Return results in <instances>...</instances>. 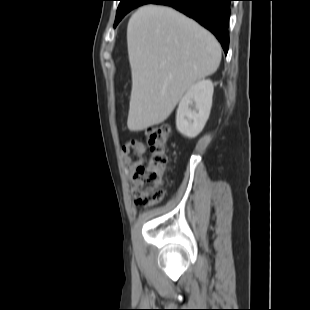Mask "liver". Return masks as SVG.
Segmentation results:
<instances>
[{"label": "liver", "mask_w": 310, "mask_h": 310, "mask_svg": "<svg viewBox=\"0 0 310 310\" xmlns=\"http://www.w3.org/2000/svg\"><path fill=\"white\" fill-rule=\"evenodd\" d=\"M127 46L130 131L164 122L185 92L215 73L221 61V46L209 31L164 6H142L131 16Z\"/></svg>", "instance_id": "6515ba94"}]
</instances>
